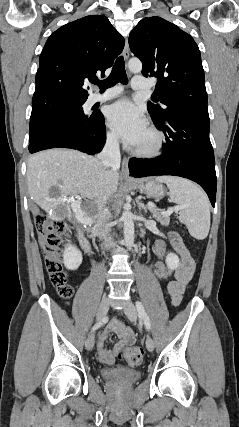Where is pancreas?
Returning a JSON list of instances; mask_svg holds the SVG:
<instances>
[{"label":"pancreas","mask_w":239,"mask_h":427,"mask_svg":"<svg viewBox=\"0 0 239 427\" xmlns=\"http://www.w3.org/2000/svg\"><path fill=\"white\" fill-rule=\"evenodd\" d=\"M150 212L152 213L153 217L156 221H158L163 226H168L170 223V217L162 215L158 212V210L149 208Z\"/></svg>","instance_id":"obj_1"}]
</instances>
